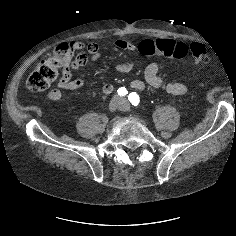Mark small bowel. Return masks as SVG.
<instances>
[{"instance_id":"c3829d8e","label":"small bowel","mask_w":236,"mask_h":236,"mask_svg":"<svg viewBox=\"0 0 236 236\" xmlns=\"http://www.w3.org/2000/svg\"><path fill=\"white\" fill-rule=\"evenodd\" d=\"M149 40V39H147ZM146 41V40H144ZM142 41L139 45L125 40L119 39L115 42L117 48L121 50L140 52V46L144 42ZM155 42L153 40H150ZM72 53H76L75 57L72 58L65 68L57 86L49 91L48 98L50 100H60L66 95V91H74L84 88L85 82L82 79H72V73L83 67L88 62L97 61L102 56V51L96 43L85 44L80 41H71L68 44ZM133 67V62L130 60H122L113 66V71L118 74L127 73ZM165 68L161 63H151L144 71V80L135 79L132 80L130 86L137 90H144L146 86H150L154 89L165 91L173 95H184L187 93L188 88L185 84L179 82H165L159 75V73ZM113 86L106 83L102 87V92L106 95L112 93Z\"/></svg>"}]
</instances>
